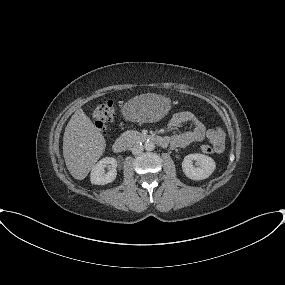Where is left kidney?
<instances>
[{
	"label": "left kidney",
	"instance_id": "obj_1",
	"mask_svg": "<svg viewBox=\"0 0 285 285\" xmlns=\"http://www.w3.org/2000/svg\"><path fill=\"white\" fill-rule=\"evenodd\" d=\"M193 161H196V166L193 165ZM215 168V161L211 157L199 153L185 156L182 162L184 174L196 181L208 178Z\"/></svg>",
	"mask_w": 285,
	"mask_h": 285
}]
</instances>
